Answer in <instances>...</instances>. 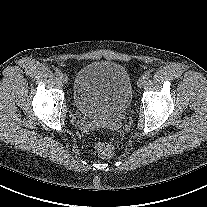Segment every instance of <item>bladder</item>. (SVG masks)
<instances>
[{
    "label": "bladder",
    "mask_w": 207,
    "mask_h": 207,
    "mask_svg": "<svg viewBox=\"0 0 207 207\" xmlns=\"http://www.w3.org/2000/svg\"><path fill=\"white\" fill-rule=\"evenodd\" d=\"M131 99L130 75L120 64L95 61L83 66L76 75L73 102L86 117H117L128 109Z\"/></svg>",
    "instance_id": "bladder-1"
}]
</instances>
